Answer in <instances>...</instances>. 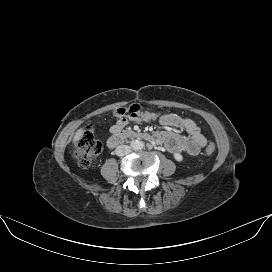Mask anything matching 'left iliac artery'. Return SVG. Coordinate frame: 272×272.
Listing matches in <instances>:
<instances>
[{
  "label": "left iliac artery",
  "instance_id": "44dca946",
  "mask_svg": "<svg viewBox=\"0 0 272 272\" xmlns=\"http://www.w3.org/2000/svg\"><path fill=\"white\" fill-rule=\"evenodd\" d=\"M143 147H144V144L141 143V144L139 145V149H142Z\"/></svg>",
  "mask_w": 272,
  "mask_h": 272
}]
</instances>
